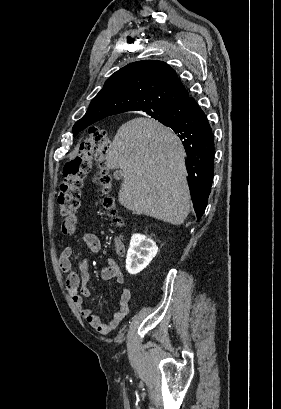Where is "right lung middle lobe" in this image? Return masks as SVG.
Masks as SVG:
<instances>
[{
    "instance_id": "1",
    "label": "right lung middle lobe",
    "mask_w": 281,
    "mask_h": 409,
    "mask_svg": "<svg viewBox=\"0 0 281 409\" xmlns=\"http://www.w3.org/2000/svg\"><path fill=\"white\" fill-rule=\"evenodd\" d=\"M156 120H158L160 123L164 124L165 126H169L172 123H174L176 121V118L173 116H169V117H160V118H156ZM81 130L79 129H74L73 128V134L74 136L77 135L78 132H80Z\"/></svg>"
}]
</instances>
